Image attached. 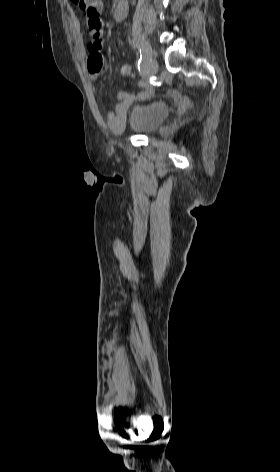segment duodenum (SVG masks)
Returning <instances> with one entry per match:
<instances>
[{"mask_svg": "<svg viewBox=\"0 0 280 472\" xmlns=\"http://www.w3.org/2000/svg\"><path fill=\"white\" fill-rule=\"evenodd\" d=\"M114 19L117 22H120L124 20L127 16V8L123 5H117V7L114 10Z\"/></svg>", "mask_w": 280, "mask_h": 472, "instance_id": "obj_1", "label": "duodenum"}]
</instances>
